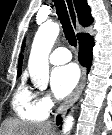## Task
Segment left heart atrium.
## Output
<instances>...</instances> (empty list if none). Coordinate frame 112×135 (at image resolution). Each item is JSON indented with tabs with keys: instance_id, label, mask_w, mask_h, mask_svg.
I'll use <instances>...</instances> for the list:
<instances>
[{
	"instance_id": "left-heart-atrium-1",
	"label": "left heart atrium",
	"mask_w": 112,
	"mask_h": 135,
	"mask_svg": "<svg viewBox=\"0 0 112 135\" xmlns=\"http://www.w3.org/2000/svg\"><path fill=\"white\" fill-rule=\"evenodd\" d=\"M79 71L76 65L66 64L56 67L51 72V88L57 98L68 95L77 85Z\"/></svg>"
}]
</instances>
